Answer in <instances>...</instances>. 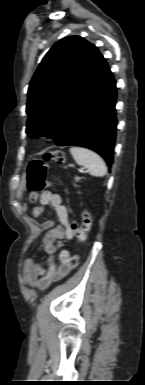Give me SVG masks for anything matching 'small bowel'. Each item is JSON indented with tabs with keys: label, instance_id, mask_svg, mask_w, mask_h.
<instances>
[{
	"label": "small bowel",
	"instance_id": "small-bowel-1",
	"mask_svg": "<svg viewBox=\"0 0 145 385\" xmlns=\"http://www.w3.org/2000/svg\"><path fill=\"white\" fill-rule=\"evenodd\" d=\"M38 199L40 205L33 208V216L40 217L44 206L50 205L56 213L59 225L54 226L49 220L41 223V227L47 229L40 248L41 253L47 256L46 266L33 259L25 260L23 281L29 287L44 290L53 282L66 277L74 268L68 251L64 249V242L73 239V226L76 223L71 221L68 210L57 193L47 190Z\"/></svg>",
	"mask_w": 145,
	"mask_h": 385
}]
</instances>
